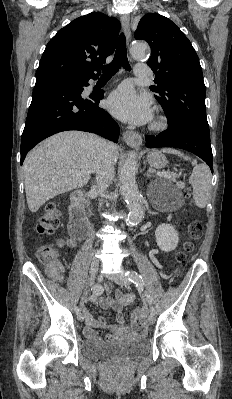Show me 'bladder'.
I'll list each match as a JSON object with an SVG mask.
<instances>
[{"instance_id":"obj_1","label":"bladder","mask_w":232,"mask_h":399,"mask_svg":"<svg viewBox=\"0 0 232 399\" xmlns=\"http://www.w3.org/2000/svg\"><path fill=\"white\" fill-rule=\"evenodd\" d=\"M148 350L149 343L145 339L120 343L86 339L79 346L81 356L90 360H131L144 356Z\"/></svg>"}]
</instances>
